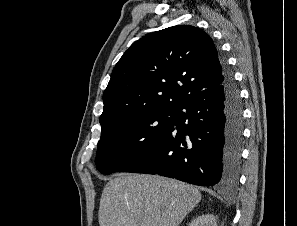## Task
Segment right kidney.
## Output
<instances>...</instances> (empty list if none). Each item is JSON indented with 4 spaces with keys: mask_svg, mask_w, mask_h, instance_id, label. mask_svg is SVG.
Instances as JSON below:
<instances>
[{
    "mask_svg": "<svg viewBox=\"0 0 297 226\" xmlns=\"http://www.w3.org/2000/svg\"><path fill=\"white\" fill-rule=\"evenodd\" d=\"M189 226H217L216 219L211 214H203L195 218Z\"/></svg>",
    "mask_w": 297,
    "mask_h": 226,
    "instance_id": "ca27d5eb",
    "label": "right kidney"
}]
</instances>
